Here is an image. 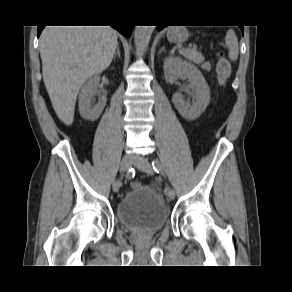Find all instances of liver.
Returning a JSON list of instances; mask_svg holds the SVG:
<instances>
[{"label":"liver","mask_w":292,"mask_h":292,"mask_svg":"<svg viewBox=\"0 0 292 292\" xmlns=\"http://www.w3.org/2000/svg\"><path fill=\"white\" fill-rule=\"evenodd\" d=\"M117 32L110 26H46L39 48L46 90L58 118L71 125L83 83L111 63Z\"/></svg>","instance_id":"liver-1"}]
</instances>
